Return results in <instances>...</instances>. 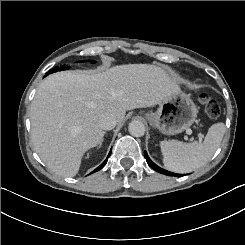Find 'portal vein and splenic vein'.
<instances>
[{
  "instance_id": "18ae733b",
  "label": "portal vein and splenic vein",
  "mask_w": 245,
  "mask_h": 245,
  "mask_svg": "<svg viewBox=\"0 0 245 245\" xmlns=\"http://www.w3.org/2000/svg\"><path fill=\"white\" fill-rule=\"evenodd\" d=\"M186 133H188L189 135L195 136L196 132L194 130H192V128H186ZM199 141H202L203 138V134H199Z\"/></svg>"
}]
</instances>
